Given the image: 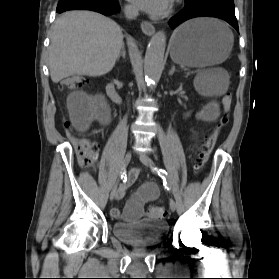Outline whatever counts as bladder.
<instances>
[{
	"label": "bladder",
	"instance_id": "31cf9c89",
	"mask_svg": "<svg viewBox=\"0 0 279 279\" xmlns=\"http://www.w3.org/2000/svg\"><path fill=\"white\" fill-rule=\"evenodd\" d=\"M112 231L116 238L126 244L151 247L164 240L168 225L160 220L144 218L134 222H115Z\"/></svg>",
	"mask_w": 279,
	"mask_h": 279
}]
</instances>
